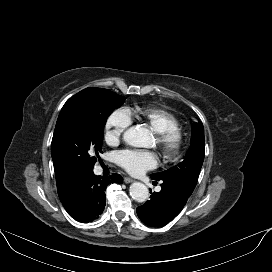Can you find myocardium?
Masks as SVG:
<instances>
[{"instance_id":"obj_1","label":"myocardium","mask_w":272,"mask_h":272,"mask_svg":"<svg viewBox=\"0 0 272 272\" xmlns=\"http://www.w3.org/2000/svg\"><path fill=\"white\" fill-rule=\"evenodd\" d=\"M155 140L168 160L178 158L185 146V135L180 128L156 133Z\"/></svg>"}]
</instances>
